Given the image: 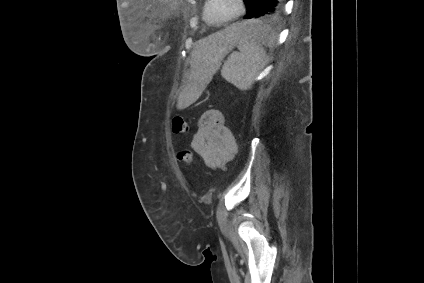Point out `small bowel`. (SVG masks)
Masks as SVG:
<instances>
[{
  "label": "small bowel",
  "mask_w": 424,
  "mask_h": 283,
  "mask_svg": "<svg viewBox=\"0 0 424 283\" xmlns=\"http://www.w3.org/2000/svg\"><path fill=\"white\" fill-rule=\"evenodd\" d=\"M190 147L210 168L223 167L234 157L237 145L221 110L210 109L201 115Z\"/></svg>",
  "instance_id": "c3829d8e"
}]
</instances>
